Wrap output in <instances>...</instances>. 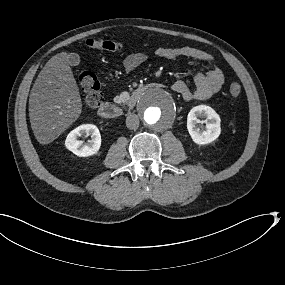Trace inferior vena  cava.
I'll return each mask as SVG.
<instances>
[{
    "label": "inferior vena cava",
    "instance_id": "1",
    "mask_svg": "<svg viewBox=\"0 0 285 285\" xmlns=\"http://www.w3.org/2000/svg\"><path fill=\"white\" fill-rule=\"evenodd\" d=\"M126 126L132 130L137 129L139 127V117L136 114H129L126 118Z\"/></svg>",
    "mask_w": 285,
    "mask_h": 285
}]
</instances>
